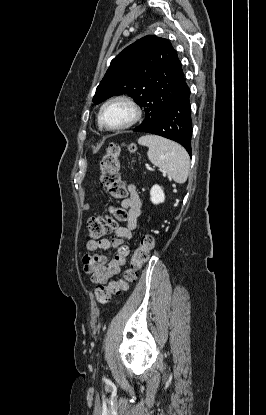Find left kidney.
<instances>
[{
  "label": "left kidney",
  "instance_id": "1",
  "mask_svg": "<svg viewBox=\"0 0 266 415\" xmlns=\"http://www.w3.org/2000/svg\"><path fill=\"white\" fill-rule=\"evenodd\" d=\"M150 200L153 204H159L164 202L165 194L163 189L159 185H154L150 190Z\"/></svg>",
  "mask_w": 266,
  "mask_h": 415
}]
</instances>
